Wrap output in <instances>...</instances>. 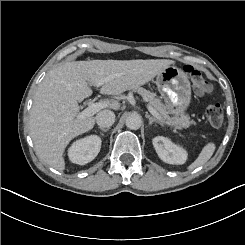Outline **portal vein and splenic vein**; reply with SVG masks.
I'll list each match as a JSON object with an SVG mask.
<instances>
[{
    "label": "portal vein and splenic vein",
    "instance_id": "1",
    "mask_svg": "<svg viewBox=\"0 0 245 245\" xmlns=\"http://www.w3.org/2000/svg\"><path fill=\"white\" fill-rule=\"evenodd\" d=\"M104 80L101 85L105 82L108 81ZM109 102H98V103H92L90 104L86 109H84L82 112H80L77 115V119H84L86 117H91L94 114H96L97 112H99L101 109L108 107ZM148 110L149 112L156 117L157 119L161 120V116L159 115V113L152 107V106H148Z\"/></svg>",
    "mask_w": 245,
    "mask_h": 245
}]
</instances>
